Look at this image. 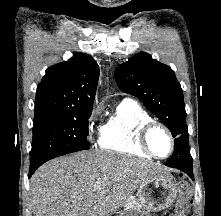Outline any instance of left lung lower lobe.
<instances>
[{
	"instance_id": "0a47b994",
	"label": "left lung lower lobe",
	"mask_w": 221,
	"mask_h": 216,
	"mask_svg": "<svg viewBox=\"0 0 221 216\" xmlns=\"http://www.w3.org/2000/svg\"><path fill=\"white\" fill-rule=\"evenodd\" d=\"M165 165L179 169L193 178L192 157L189 150L175 148L172 157L165 163Z\"/></svg>"
}]
</instances>
